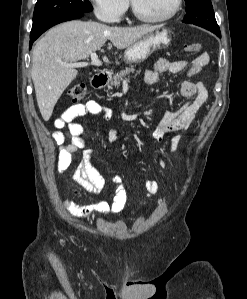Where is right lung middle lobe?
<instances>
[{
	"label": "right lung middle lobe",
	"instance_id": "1",
	"mask_svg": "<svg viewBox=\"0 0 247 299\" xmlns=\"http://www.w3.org/2000/svg\"><path fill=\"white\" fill-rule=\"evenodd\" d=\"M93 10L89 0H38L33 14L30 35L38 33L50 23L73 13Z\"/></svg>",
	"mask_w": 247,
	"mask_h": 299
}]
</instances>
